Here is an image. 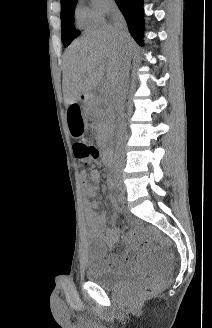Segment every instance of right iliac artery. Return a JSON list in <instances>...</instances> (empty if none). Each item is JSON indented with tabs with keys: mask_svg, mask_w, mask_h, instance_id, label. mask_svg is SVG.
I'll return each instance as SVG.
<instances>
[{
	"mask_svg": "<svg viewBox=\"0 0 212 328\" xmlns=\"http://www.w3.org/2000/svg\"><path fill=\"white\" fill-rule=\"evenodd\" d=\"M118 200L119 202H123V196L119 195Z\"/></svg>",
	"mask_w": 212,
	"mask_h": 328,
	"instance_id": "1",
	"label": "right iliac artery"
}]
</instances>
